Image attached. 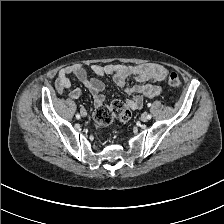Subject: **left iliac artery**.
I'll return each instance as SVG.
<instances>
[{"mask_svg":"<svg viewBox=\"0 0 224 224\" xmlns=\"http://www.w3.org/2000/svg\"><path fill=\"white\" fill-rule=\"evenodd\" d=\"M151 106V104L149 103L148 104V107H150ZM152 118V115L151 114H148V119H151Z\"/></svg>","mask_w":224,"mask_h":224,"instance_id":"1","label":"left iliac artery"}]
</instances>
